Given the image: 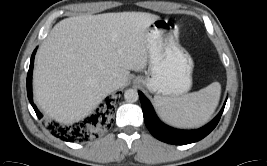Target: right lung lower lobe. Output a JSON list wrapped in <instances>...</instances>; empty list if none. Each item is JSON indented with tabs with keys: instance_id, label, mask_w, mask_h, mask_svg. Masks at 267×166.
Masks as SVG:
<instances>
[{
	"instance_id": "1",
	"label": "right lung lower lobe",
	"mask_w": 267,
	"mask_h": 166,
	"mask_svg": "<svg viewBox=\"0 0 267 166\" xmlns=\"http://www.w3.org/2000/svg\"><path fill=\"white\" fill-rule=\"evenodd\" d=\"M36 50H34L30 67L27 75V95L36 115L39 119L42 118V114L33 103L32 99V71ZM114 99L107 97L104 102L96 109L95 113L87 117L81 122L75 123L71 126H62L58 123H51L48 126L49 131L56 137L67 142H83L97 136V133L110 126L111 117L114 112Z\"/></svg>"
}]
</instances>
